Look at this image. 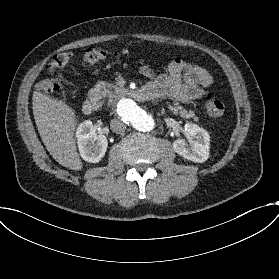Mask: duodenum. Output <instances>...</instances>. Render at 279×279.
<instances>
[{"label": "duodenum", "mask_w": 279, "mask_h": 279, "mask_svg": "<svg viewBox=\"0 0 279 279\" xmlns=\"http://www.w3.org/2000/svg\"><path fill=\"white\" fill-rule=\"evenodd\" d=\"M115 92L121 96L132 98L136 101H145L149 98V94L146 90L140 89V90H131L125 86H118L115 89ZM97 108V101L94 98H88L83 103V112L86 115H91L95 112Z\"/></svg>", "instance_id": "duodenum-1"}]
</instances>
